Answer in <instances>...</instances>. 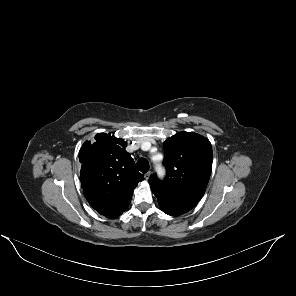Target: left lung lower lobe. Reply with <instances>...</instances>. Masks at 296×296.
I'll return each instance as SVG.
<instances>
[{
	"instance_id": "1",
	"label": "left lung lower lobe",
	"mask_w": 296,
	"mask_h": 296,
	"mask_svg": "<svg viewBox=\"0 0 296 296\" xmlns=\"http://www.w3.org/2000/svg\"><path fill=\"white\" fill-rule=\"evenodd\" d=\"M168 215H172V214H168ZM172 216H177V215H172Z\"/></svg>"
}]
</instances>
